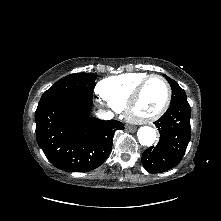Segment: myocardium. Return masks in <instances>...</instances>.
<instances>
[{"label":"myocardium","mask_w":221,"mask_h":221,"mask_svg":"<svg viewBox=\"0 0 221 221\" xmlns=\"http://www.w3.org/2000/svg\"><path fill=\"white\" fill-rule=\"evenodd\" d=\"M154 78L161 80L163 82V84L165 85L166 97H165L164 103L156 112H154L150 115H145V116L137 115L135 113V108H136L137 103L139 102L141 93H142L144 87L147 85V83ZM171 98H172V90H171V86H170L169 82L161 75H158V74L148 75L136 86V88L132 92L131 96L129 97V99L126 103V106H125L126 116H127L128 120H130L131 122L136 123V124L150 123V122L158 119L161 115H163L166 112V110L168 109V107L170 105Z\"/></svg>","instance_id":"obj_1"}]
</instances>
